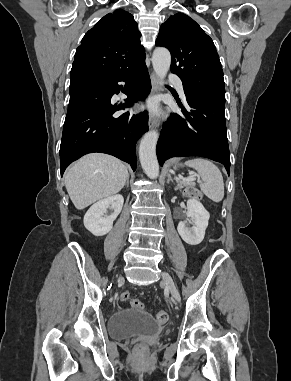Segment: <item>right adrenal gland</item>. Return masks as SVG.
<instances>
[{
  "instance_id": "1",
  "label": "right adrenal gland",
  "mask_w": 291,
  "mask_h": 381,
  "mask_svg": "<svg viewBox=\"0 0 291 381\" xmlns=\"http://www.w3.org/2000/svg\"><path fill=\"white\" fill-rule=\"evenodd\" d=\"M126 185H127V187L129 186V176H128L127 181H126Z\"/></svg>"
}]
</instances>
